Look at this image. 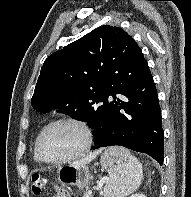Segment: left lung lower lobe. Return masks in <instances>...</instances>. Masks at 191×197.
Returning a JSON list of instances; mask_svg holds the SVG:
<instances>
[{
  "label": "left lung lower lobe",
  "mask_w": 191,
  "mask_h": 197,
  "mask_svg": "<svg viewBox=\"0 0 191 197\" xmlns=\"http://www.w3.org/2000/svg\"><path fill=\"white\" fill-rule=\"evenodd\" d=\"M119 86L93 114L95 146H124L143 152L160 165L164 158V132L157 90L149 68L131 70L120 77Z\"/></svg>",
  "instance_id": "0a47b994"
}]
</instances>
